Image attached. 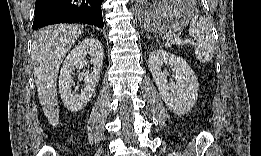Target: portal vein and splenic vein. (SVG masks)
<instances>
[{
    "mask_svg": "<svg viewBox=\"0 0 261 156\" xmlns=\"http://www.w3.org/2000/svg\"><path fill=\"white\" fill-rule=\"evenodd\" d=\"M194 44V41H192L191 39H185V40H182V39H173V40H168L167 42V46H170L171 44Z\"/></svg>",
    "mask_w": 261,
    "mask_h": 156,
    "instance_id": "18ae733b",
    "label": "portal vein and splenic vein"
}]
</instances>
